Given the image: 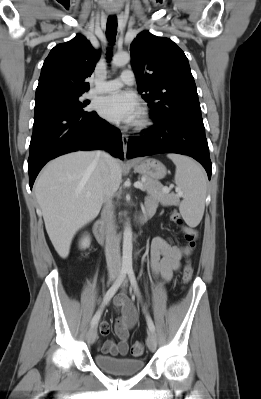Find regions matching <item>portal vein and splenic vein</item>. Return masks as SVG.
<instances>
[{
	"label": "portal vein and splenic vein",
	"mask_w": 261,
	"mask_h": 399,
	"mask_svg": "<svg viewBox=\"0 0 261 399\" xmlns=\"http://www.w3.org/2000/svg\"><path fill=\"white\" fill-rule=\"evenodd\" d=\"M134 187L139 188V189H142V188H143V184H142V182L137 181V182L134 183ZM164 191L168 192V191H169V188H164ZM182 195H183L182 192L179 191V192H178V196H182Z\"/></svg>",
	"instance_id": "18ae733b"
}]
</instances>
